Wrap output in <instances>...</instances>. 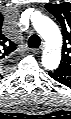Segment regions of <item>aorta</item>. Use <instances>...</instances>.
Returning a JSON list of instances; mask_svg holds the SVG:
<instances>
[{"label":"aorta","mask_w":71,"mask_h":119,"mask_svg":"<svg viewBox=\"0 0 71 119\" xmlns=\"http://www.w3.org/2000/svg\"><path fill=\"white\" fill-rule=\"evenodd\" d=\"M33 26L46 42L41 59L43 66L48 70L56 69L61 60L62 47V36L58 26L46 16L35 19Z\"/></svg>","instance_id":"1"}]
</instances>
